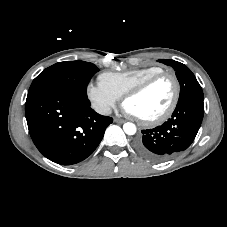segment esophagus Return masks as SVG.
Wrapping results in <instances>:
<instances>
[{"mask_svg": "<svg viewBox=\"0 0 227 227\" xmlns=\"http://www.w3.org/2000/svg\"><path fill=\"white\" fill-rule=\"evenodd\" d=\"M114 122L118 123V124H122L125 121L123 119H119V118H114Z\"/></svg>", "mask_w": 227, "mask_h": 227, "instance_id": "obj_1", "label": "esophagus"}]
</instances>
